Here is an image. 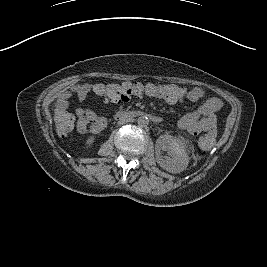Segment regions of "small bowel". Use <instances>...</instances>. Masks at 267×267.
Masks as SVG:
<instances>
[{
	"mask_svg": "<svg viewBox=\"0 0 267 267\" xmlns=\"http://www.w3.org/2000/svg\"><path fill=\"white\" fill-rule=\"evenodd\" d=\"M91 90L92 85L89 83L77 84L71 87L59 102V108L65 109L69 99L74 95L77 96L80 101H83L90 94ZM182 91L183 96L177 102H183L186 100L190 102H198L205 96L204 91L197 87L192 89L183 88ZM222 107L223 102L219 98H207L198 108L181 117L177 122V126L181 130H185L193 135H198L202 132H208L216 135V113L221 110ZM76 115L78 117L77 128L81 133L97 134L106 126L105 118L98 116L92 109L77 108Z\"/></svg>",
	"mask_w": 267,
	"mask_h": 267,
	"instance_id": "obj_1",
	"label": "small bowel"
}]
</instances>
